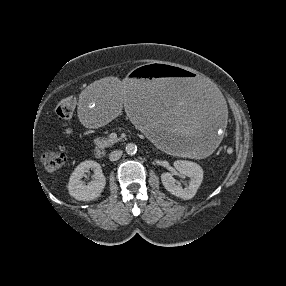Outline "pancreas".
Returning <instances> with one entry per match:
<instances>
[{"mask_svg": "<svg viewBox=\"0 0 286 286\" xmlns=\"http://www.w3.org/2000/svg\"><path fill=\"white\" fill-rule=\"evenodd\" d=\"M119 138H108V139H100L97 138L94 140V143L96 144V146L98 148H105V147H109L111 145H113L114 143H116L117 141H119Z\"/></svg>", "mask_w": 286, "mask_h": 286, "instance_id": "pancreas-1", "label": "pancreas"}]
</instances>
